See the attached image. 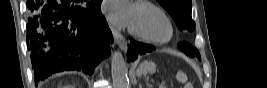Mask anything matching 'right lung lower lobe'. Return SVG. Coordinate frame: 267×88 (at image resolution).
I'll return each instance as SVG.
<instances>
[{
    "mask_svg": "<svg viewBox=\"0 0 267 88\" xmlns=\"http://www.w3.org/2000/svg\"><path fill=\"white\" fill-rule=\"evenodd\" d=\"M101 1L90 0L89 8L76 6L77 0L28 1L27 48L36 83L66 70L92 74L109 56L113 37Z\"/></svg>",
    "mask_w": 267,
    "mask_h": 88,
    "instance_id": "1",
    "label": "right lung lower lobe"
}]
</instances>
